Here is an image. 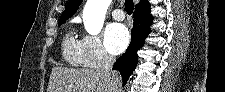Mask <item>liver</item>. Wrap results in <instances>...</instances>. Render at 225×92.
<instances>
[{"label":"liver","instance_id":"obj_1","mask_svg":"<svg viewBox=\"0 0 225 92\" xmlns=\"http://www.w3.org/2000/svg\"><path fill=\"white\" fill-rule=\"evenodd\" d=\"M121 82L113 76L94 69L54 67L47 92H115Z\"/></svg>","mask_w":225,"mask_h":92}]
</instances>
